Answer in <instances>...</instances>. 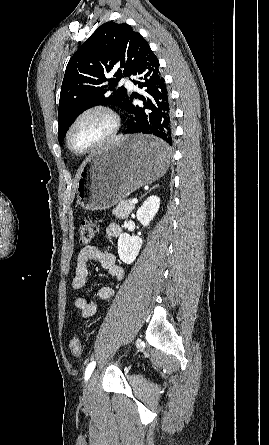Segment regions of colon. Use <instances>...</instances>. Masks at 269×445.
I'll return each mask as SVG.
<instances>
[{
    "mask_svg": "<svg viewBox=\"0 0 269 445\" xmlns=\"http://www.w3.org/2000/svg\"><path fill=\"white\" fill-rule=\"evenodd\" d=\"M96 234V226L87 220L81 222L79 226V243L82 246H87ZM71 353L78 357L82 355V346L78 338L74 337L70 341Z\"/></svg>",
    "mask_w": 269,
    "mask_h": 445,
    "instance_id": "obj_1",
    "label": "colon"
}]
</instances>
